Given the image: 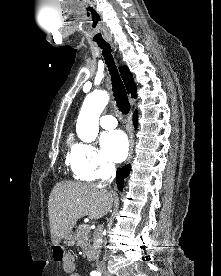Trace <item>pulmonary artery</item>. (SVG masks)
I'll return each mask as SVG.
<instances>
[{"instance_id": "e3ab8cb5", "label": "pulmonary artery", "mask_w": 221, "mask_h": 276, "mask_svg": "<svg viewBox=\"0 0 221 276\" xmlns=\"http://www.w3.org/2000/svg\"><path fill=\"white\" fill-rule=\"evenodd\" d=\"M100 125L104 129H113L117 126V120L111 115H104L100 118Z\"/></svg>"}]
</instances>
